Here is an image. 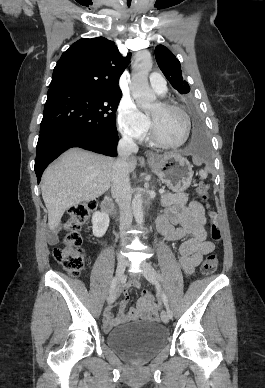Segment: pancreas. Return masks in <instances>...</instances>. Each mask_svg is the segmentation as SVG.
Instances as JSON below:
<instances>
[{"mask_svg":"<svg viewBox=\"0 0 265 388\" xmlns=\"http://www.w3.org/2000/svg\"><path fill=\"white\" fill-rule=\"evenodd\" d=\"M187 202V194H161V206H163V208L173 206V204H181V206H185Z\"/></svg>","mask_w":265,"mask_h":388,"instance_id":"1","label":"pancreas"}]
</instances>
